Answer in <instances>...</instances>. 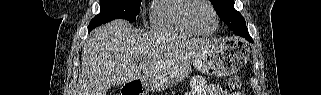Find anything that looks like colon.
Here are the masks:
<instances>
[{"label": "colon", "mask_w": 321, "mask_h": 95, "mask_svg": "<svg viewBox=\"0 0 321 95\" xmlns=\"http://www.w3.org/2000/svg\"><path fill=\"white\" fill-rule=\"evenodd\" d=\"M242 84V80L239 76H232L228 80V85L232 88H238Z\"/></svg>", "instance_id": "obj_1"}]
</instances>
